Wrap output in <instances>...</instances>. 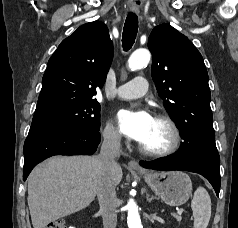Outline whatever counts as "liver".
<instances>
[{"label": "liver", "mask_w": 238, "mask_h": 228, "mask_svg": "<svg viewBox=\"0 0 238 228\" xmlns=\"http://www.w3.org/2000/svg\"><path fill=\"white\" fill-rule=\"evenodd\" d=\"M122 175L117 164L111 174L114 186ZM99 179L97 157H52L36 166L27 180L33 228H45L87 207L97 194Z\"/></svg>", "instance_id": "6515ba94"}]
</instances>
